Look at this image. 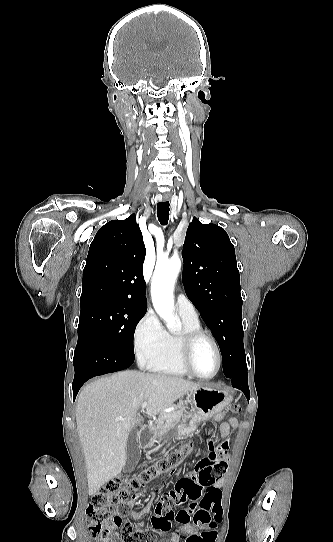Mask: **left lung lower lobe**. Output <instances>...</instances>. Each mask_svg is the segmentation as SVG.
I'll list each match as a JSON object with an SVG mask.
<instances>
[{"instance_id": "1", "label": "left lung lower lobe", "mask_w": 333, "mask_h": 542, "mask_svg": "<svg viewBox=\"0 0 333 542\" xmlns=\"http://www.w3.org/2000/svg\"><path fill=\"white\" fill-rule=\"evenodd\" d=\"M226 377L231 381L234 387L241 390L245 394L248 400L250 399L247 365L233 371L229 376Z\"/></svg>"}]
</instances>
